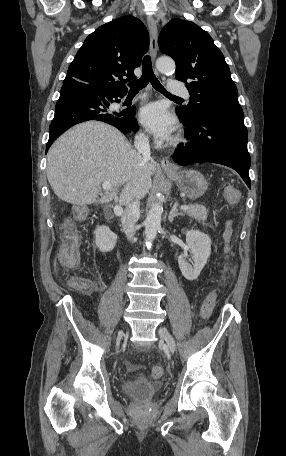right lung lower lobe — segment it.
Returning <instances> with one entry per match:
<instances>
[{
    "mask_svg": "<svg viewBox=\"0 0 286 456\" xmlns=\"http://www.w3.org/2000/svg\"><path fill=\"white\" fill-rule=\"evenodd\" d=\"M123 96L112 97L102 94L82 83H64L60 98L56 103L54 119L49 127L46 153L54 140L63 132L84 121L106 122L118 128L122 133L136 131L138 123L135 118V107L121 112L109 109L111 103L120 102L117 98Z\"/></svg>",
    "mask_w": 286,
    "mask_h": 456,
    "instance_id": "right-lung-lower-lobe-1",
    "label": "right lung lower lobe"
}]
</instances>
